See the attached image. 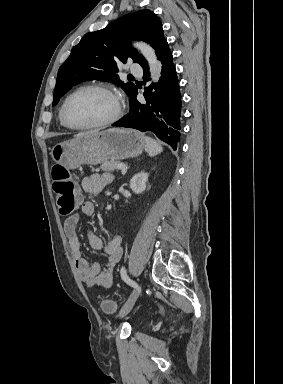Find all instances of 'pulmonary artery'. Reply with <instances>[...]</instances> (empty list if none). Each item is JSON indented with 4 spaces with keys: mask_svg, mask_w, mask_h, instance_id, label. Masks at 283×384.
Here are the masks:
<instances>
[{
    "mask_svg": "<svg viewBox=\"0 0 283 384\" xmlns=\"http://www.w3.org/2000/svg\"><path fill=\"white\" fill-rule=\"evenodd\" d=\"M129 70L131 75H142L143 70L140 68L139 64H134L133 62L129 65Z\"/></svg>",
    "mask_w": 283,
    "mask_h": 384,
    "instance_id": "pulmonary-artery-1",
    "label": "pulmonary artery"
}]
</instances>
